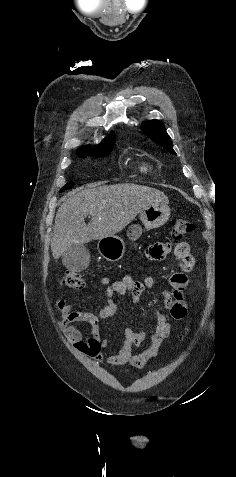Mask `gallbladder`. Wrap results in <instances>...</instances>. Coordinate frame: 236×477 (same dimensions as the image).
I'll use <instances>...</instances> for the list:
<instances>
[{
    "label": "gallbladder",
    "instance_id": "bac80fb5",
    "mask_svg": "<svg viewBox=\"0 0 236 477\" xmlns=\"http://www.w3.org/2000/svg\"><path fill=\"white\" fill-rule=\"evenodd\" d=\"M62 262L71 271H82L90 262L89 250L83 244H74L63 253Z\"/></svg>",
    "mask_w": 236,
    "mask_h": 477
}]
</instances>
